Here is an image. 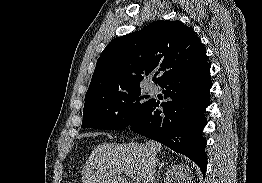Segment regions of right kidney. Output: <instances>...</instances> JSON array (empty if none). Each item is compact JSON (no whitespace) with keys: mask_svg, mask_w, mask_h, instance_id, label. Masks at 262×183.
I'll return each mask as SVG.
<instances>
[{"mask_svg":"<svg viewBox=\"0 0 262 183\" xmlns=\"http://www.w3.org/2000/svg\"><path fill=\"white\" fill-rule=\"evenodd\" d=\"M191 171L184 164L172 166L166 173L164 183H192Z\"/></svg>","mask_w":262,"mask_h":183,"instance_id":"right-kidney-1","label":"right kidney"}]
</instances>
